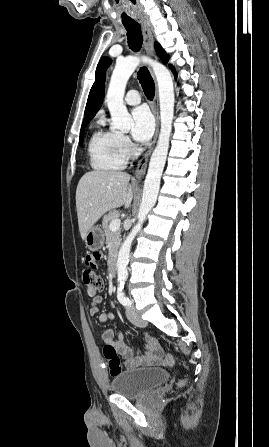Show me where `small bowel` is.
I'll return each instance as SVG.
<instances>
[{"instance_id":"obj_1","label":"small bowel","mask_w":269,"mask_h":447,"mask_svg":"<svg viewBox=\"0 0 269 447\" xmlns=\"http://www.w3.org/2000/svg\"><path fill=\"white\" fill-rule=\"evenodd\" d=\"M102 302L100 296H95L92 299V306L90 309V314L95 315L98 312V307ZM115 314L112 312H102L99 314L98 319L100 322H106L108 320H113ZM147 343L145 345L147 353L145 355H139L138 352L126 345L124 342V335L120 331L116 338L113 337V330L109 329L102 334V339L109 344H112L122 355L124 359V365L128 369H133L141 366H151L159 363L163 359V353L158 346L157 340L153 337L152 332L147 331L144 334Z\"/></svg>"}]
</instances>
